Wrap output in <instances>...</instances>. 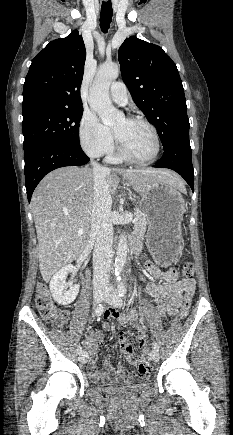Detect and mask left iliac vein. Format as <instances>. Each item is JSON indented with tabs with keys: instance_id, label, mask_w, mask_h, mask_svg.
Instances as JSON below:
<instances>
[{
	"instance_id": "obj_1",
	"label": "left iliac vein",
	"mask_w": 233,
	"mask_h": 435,
	"mask_svg": "<svg viewBox=\"0 0 233 435\" xmlns=\"http://www.w3.org/2000/svg\"><path fill=\"white\" fill-rule=\"evenodd\" d=\"M104 301L116 308H121L123 304L118 292L113 288H109L108 291H106V293L104 294ZM150 359L154 362H157L159 360L158 351H156L155 349L152 350L150 352Z\"/></svg>"
}]
</instances>
